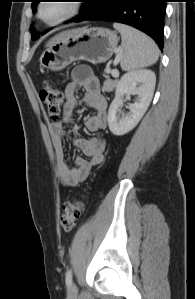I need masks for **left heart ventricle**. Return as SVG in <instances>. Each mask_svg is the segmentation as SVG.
I'll use <instances>...</instances> for the list:
<instances>
[{"label":"left heart ventricle","mask_w":195,"mask_h":299,"mask_svg":"<svg viewBox=\"0 0 195 299\" xmlns=\"http://www.w3.org/2000/svg\"><path fill=\"white\" fill-rule=\"evenodd\" d=\"M67 11V4L65 1H48L44 4L41 15L42 17L48 21L53 22L62 17Z\"/></svg>","instance_id":"left-heart-ventricle-1"}]
</instances>
